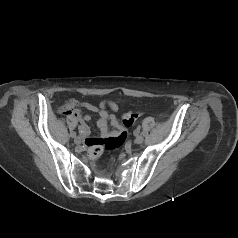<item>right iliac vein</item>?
Masks as SVG:
<instances>
[{
	"mask_svg": "<svg viewBox=\"0 0 238 238\" xmlns=\"http://www.w3.org/2000/svg\"><path fill=\"white\" fill-rule=\"evenodd\" d=\"M74 142H75L77 145H80L81 142H82V140H81L80 137H76V138L74 139Z\"/></svg>",
	"mask_w": 238,
	"mask_h": 238,
	"instance_id": "right-iliac-vein-1",
	"label": "right iliac vein"
}]
</instances>
